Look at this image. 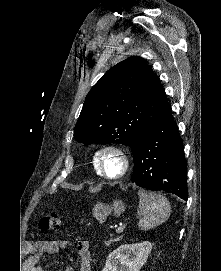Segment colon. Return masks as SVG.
Returning a JSON list of instances; mask_svg holds the SVG:
<instances>
[{
  "label": "colon",
  "mask_w": 221,
  "mask_h": 271,
  "mask_svg": "<svg viewBox=\"0 0 221 271\" xmlns=\"http://www.w3.org/2000/svg\"><path fill=\"white\" fill-rule=\"evenodd\" d=\"M40 227L43 231L55 234L60 230L61 219L58 213L47 214L42 217Z\"/></svg>",
  "instance_id": "5ec220e1"
}]
</instances>
